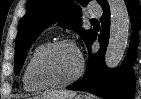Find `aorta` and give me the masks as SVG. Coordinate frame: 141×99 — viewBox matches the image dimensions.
<instances>
[{
    "instance_id": "aorta-1",
    "label": "aorta",
    "mask_w": 141,
    "mask_h": 99,
    "mask_svg": "<svg viewBox=\"0 0 141 99\" xmlns=\"http://www.w3.org/2000/svg\"><path fill=\"white\" fill-rule=\"evenodd\" d=\"M110 8L109 42L105 64L115 68L122 60L129 38V12L124 0H108Z\"/></svg>"
}]
</instances>
